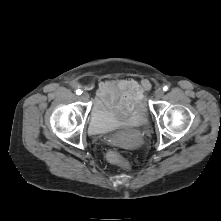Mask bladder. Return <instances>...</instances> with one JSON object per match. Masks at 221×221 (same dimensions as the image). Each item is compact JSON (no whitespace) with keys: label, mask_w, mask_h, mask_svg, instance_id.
<instances>
[{"label":"bladder","mask_w":221,"mask_h":221,"mask_svg":"<svg viewBox=\"0 0 221 221\" xmlns=\"http://www.w3.org/2000/svg\"><path fill=\"white\" fill-rule=\"evenodd\" d=\"M147 122V113L143 105L130 114L117 107H109L99 97L90 114L89 130L94 135H105L114 131L123 123L141 126Z\"/></svg>","instance_id":"bladder-1"}]
</instances>
